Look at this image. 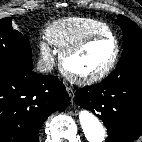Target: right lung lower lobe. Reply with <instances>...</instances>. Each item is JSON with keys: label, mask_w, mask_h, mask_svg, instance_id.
<instances>
[{"label": "right lung lower lobe", "mask_w": 142, "mask_h": 142, "mask_svg": "<svg viewBox=\"0 0 142 142\" xmlns=\"http://www.w3.org/2000/svg\"><path fill=\"white\" fill-rule=\"evenodd\" d=\"M69 95L55 76L31 70H0V142H38L50 114L69 105Z\"/></svg>", "instance_id": "right-lung-lower-lobe-1"}]
</instances>
